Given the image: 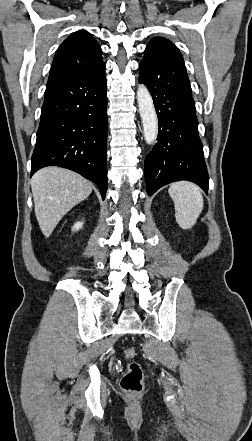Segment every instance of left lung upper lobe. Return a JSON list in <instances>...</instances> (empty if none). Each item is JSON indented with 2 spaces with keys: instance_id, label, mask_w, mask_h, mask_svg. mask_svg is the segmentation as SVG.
Here are the masks:
<instances>
[{
  "instance_id": "5c2ea615",
  "label": "left lung upper lobe",
  "mask_w": 252,
  "mask_h": 441,
  "mask_svg": "<svg viewBox=\"0 0 252 441\" xmlns=\"http://www.w3.org/2000/svg\"><path fill=\"white\" fill-rule=\"evenodd\" d=\"M163 41H168V40H166V39H164V38H160V37L153 38V39L149 42V44L147 45L146 48H149V47H151V46H153V45H155V44H157V43L163 42Z\"/></svg>"
}]
</instances>
